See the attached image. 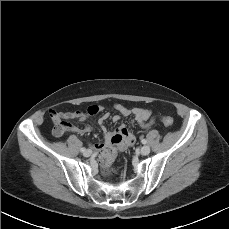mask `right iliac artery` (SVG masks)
Instances as JSON below:
<instances>
[{
	"mask_svg": "<svg viewBox=\"0 0 229 229\" xmlns=\"http://www.w3.org/2000/svg\"><path fill=\"white\" fill-rule=\"evenodd\" d=\"M80 151L81 152H85L86 151V148L83 147V148L80 149Z\"/></svg>",
	"mask_w": 229,
	"mask_h": 229,
	"instance_id": "1",
	"label": "right iliac artery"
}]
</instances>
